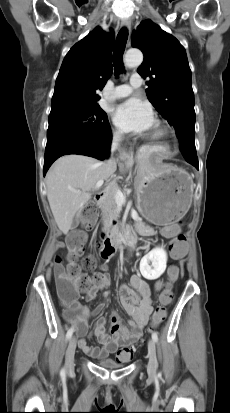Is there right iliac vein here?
Returning a JSON list of instances; mask_svg holds the SVG:
<instances>
[{
    "mask_svg": "<svg viewBox=\"0 0 230 413\" xmlns=\"http://www.w3.org/2000/svg\"><path fill=\"white\" fill-rule=\"evenodd\" d=\"M76 344H77L76 337L72 336L70 338L67 352H66L65 365H66L67 371H71L74 368V355H75V350H76Z\"/></svg>",
    "mask_w": 230,
    "mask_h": 413,
    "instance_id": "obj_1",
    "label": "right iliac vein"
}]
</instances>
